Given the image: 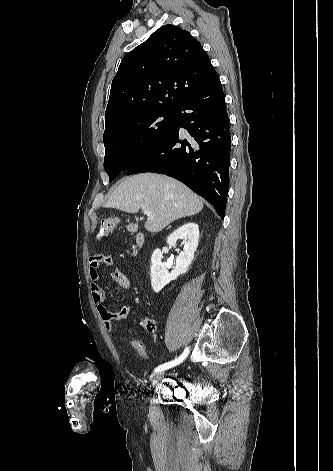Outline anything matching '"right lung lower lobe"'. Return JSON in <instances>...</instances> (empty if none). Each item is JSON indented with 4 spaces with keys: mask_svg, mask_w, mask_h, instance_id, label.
I'll use <instances>...</instances> for the list:
<instances>
[{
    "mask_svg": "<svg viewBox=\"0 0 333 471\" xmlns=\"http://www.w3.org/2000/svg\"><path fill=\"white\" fill-rule=\"evenodd\" d=\"M190 137L182 138L179 128ZM230 127L219 77L187 99L171 128L133 165L127 175L154 172L173 177L209 201L224 219L229 185Z\"/></svg>",
    "mask_w": 333,
    "mask_h": 471,
    "instance_id": "right-lung-lower-lobe-1",
    "label": "right lung lower lobe"
}]
</instances>
